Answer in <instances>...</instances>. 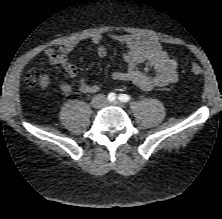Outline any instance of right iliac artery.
Segmentation results:
<instances>
[{
  "label": "right iliac artery",
  "mask_w": 222,
  "mask_h": 219,
  "mask_svg": "<svg viewBox=\"0 0 222 219\" xmlns=\"http://www.w3.org/2000/svg\"><path fill=\"white\" fill-rule=\"evenodd\" d=\"M116 99V95H115V93H110L109 95H108V100L109 101H114Z\"/></svg>",
  "instance_id": "right-iliac-artery-1"
}]
</instances>
